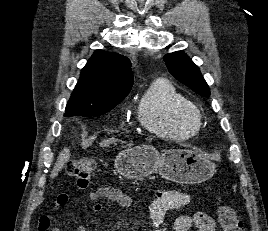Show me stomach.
Listing matches in <instances>:
<instances>
[{"label": "stomach", "instance_id": "0dacf381", "mask_svg": "<svg viewBox=\"0 0 268 231\" xmlns=\"http://www.w3.org/2000/svg\"><path fill=\"white\" fill-rule=\"evenodd\" d=\"M114 166L127 179L139 180L158 172L162 178L180 184L201 183L216 172L213 162L193 150L168 149L159 153L151 145L122 150Z\"/></svg>", "mask_w": 268, "mask_h": 231}]
</instances>
